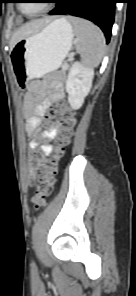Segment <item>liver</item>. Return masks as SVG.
I'll return each mask as SVG.
<instances>
[{
    "mask_svg": "<svg viewBox=\"0 0 136 296\" xmlns=\"http://www.w3.org/2000/svg\"><path fill=\"white\" fill-rule=\"evenodd\" d=\"M50 22V18L33 20L24 24L20 27L12 36L10 41V47L13 48L14 45L21 39H24L36 32H38L41 28L46 26Z\"/></svg>",
    "mask_w": 136,
    "mask_h": 296,
    "instance_id": "liver-1",
    "label": "liver"
}]
</instances>
